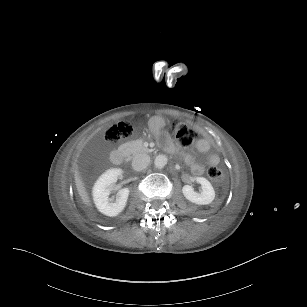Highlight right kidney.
<instances>
[{
	"label": "right kidney",
	"mask_w": 307,
	"mask_h": 307,
	"mask_svg": "<svg viewBox=\"0 0 307 307\" xmlns=\"http://www.w3.org/2000/svg\"><path fill=\"white\" fill-rule=\"evenodd\" d=\"M122 173L121 168L108 169L97 179L93 186L92 196L95 206L99 212L106 216H117L126 206L129 196L128 188L120 189L115 201L109 199L110 186L117 182Z\"/></svg>",
	"instance_id": "obj_1"
}]
</instances>
